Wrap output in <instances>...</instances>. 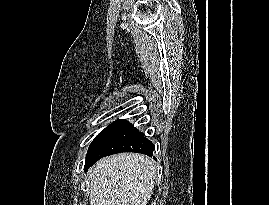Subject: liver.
Masks as SVG:
<instances>
[{
	"mask_svg": "<svg viewBox=\"0 0 269 205\" xmlns=\"http://www.w3.org/2000/svg\"><path fill=\"white\" fill-rule=\"evenodd\" d=\"M155 162L121 153L99 160L89 172L90 205H147L154 189Z\"/></svg>",
	"mask_w": 269,
	"mask_h": 205,
	"instance_id": "6515ba94",
	"label": "liver"
}]
</instances>
